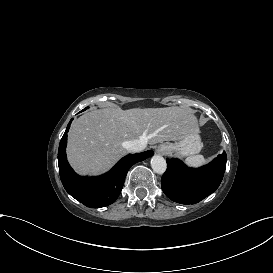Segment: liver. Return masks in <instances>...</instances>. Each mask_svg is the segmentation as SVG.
I'll return each instance as SVG.
<instances>
[{"label":"liver","instance_id":"liver-1","mask_svg":"<svg viewBox=\"0 0 273 273\" xmlns=\"http://www.w3.org/2000/svg\"><path fill=\"white\" fill-rule=\"evenodd\" d=\"M199 132L194 111L186 107L97 109L83 114L71 125L68 160L80 174H98L127 154V141L143 140L153 145L198 139Z\"/></svg>","mask_w":273,"mask_h":273}]
</instances>
